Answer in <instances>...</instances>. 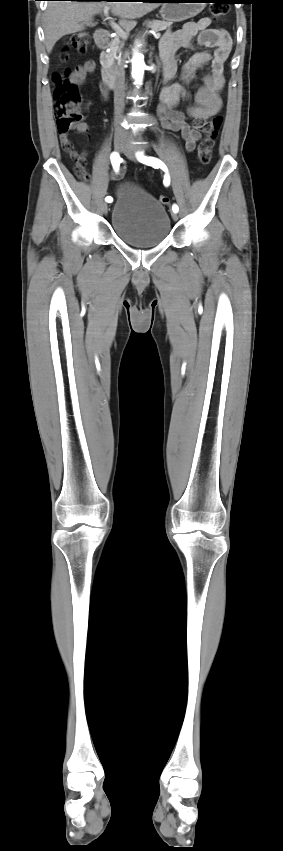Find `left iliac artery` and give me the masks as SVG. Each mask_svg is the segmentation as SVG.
<instances>
[{
	"instance_id": "left-iliac-artery-1",
	"label": "left iliac artery",
	"mask_w": 283,
	"mask_h": 851,
	"mask_svg": "<svg viewBox=\"0 0 283 851\" xmlns=\"http://www.w3.org/2000/svg\"><path fill=\"white\" fill-rule=\"evenodd\" d=\"M136 155H137L138 160L141 163L152 166L154 168H161L166 173L165 176H164L163 183H164L165 186H169L170 177H169V174H168V169H167L166 165L161 160H159L158 158H155V157L144 156L143 153H141V152L137 153ZM172 210H173V212L177 213L179 208L176 204H174L172 206Z\"/></svg>"
}]
</instances>
